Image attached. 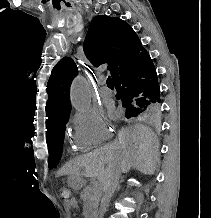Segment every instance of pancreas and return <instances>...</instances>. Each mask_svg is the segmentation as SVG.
<instances>
[{
	"label": "pancreas",
	"mask_w": 211,
	"mask_h": 218,
	"mask_svg": "<svg viewBox=\"0 0 211 218\" xmlns=\"http://www.w3.org/2000/svg\"><path fill=\"white\" fill-rule=\"evenodd\" d=\"M86 189L87 190H84V195L82 196V199L85 200V205H90V208L97 210L99 204V200L97 199L102 196V189L97 188V186H87Z\"/></svg>",
	"instance_id": "obj_1"
}]
</instances>
